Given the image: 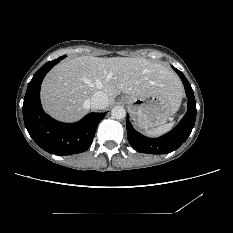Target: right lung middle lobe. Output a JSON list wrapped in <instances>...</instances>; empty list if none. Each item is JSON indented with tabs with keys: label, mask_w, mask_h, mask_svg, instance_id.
<instances>
[{
	"label": "right lung middle lobe",
	"mask_w": 233,
	"mask_h": 233,
	"mask_svg": "<svg viewBox=\"0 0 233 233\" xmlns=\"http://www.w3.org/2000/svg\"><path fill=\"white\" fill-rule=\"evenodd\" d=\"M66 57V55L59 57L58 59L62 60Z\"/></svg>",
	"instance_id": "right-lung-middle-lobe-1"
}]
</instances>
